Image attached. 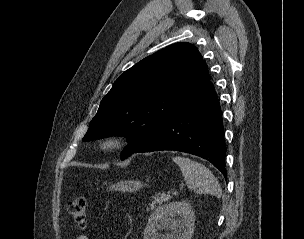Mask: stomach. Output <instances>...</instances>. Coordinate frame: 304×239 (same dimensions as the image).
I'll return each instance as SVG.
<instances>
[{
  "mask_svg": "<svg viewBox=\"0 0 304 239\" xmlns=\"http://www.w3.org/2000/svg\"><path fill=\"white\" fill-rule=\"evenodd\" d=\"M142 187H143V184L141 181L125 180V181H120V182H117L116 184L111 185L109 187V189L115 190V191L133 192V191L139 190Z\"/></svg>",
  "mask_w": 304,
  "mask_h": 239,
  "instance_id": "stomach-1",
  "label": "stomach"
}]
</instances>
